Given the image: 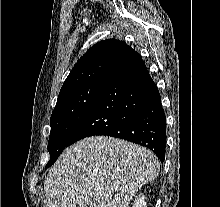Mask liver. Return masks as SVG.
<instances>
[{"mask_svg":"<svg viewBox=\"0 0 220 207\" xmlns=\"http://www.w3.org/2000/svg\"><path fill=\"white\" fill-rule=\"evenodd\" d=\"M145 147L125 140L85 138L60 156L44 182L48 207H129L135 193L159 174Z\"/></svg>","mask_w":220,"mask_h":207,"instance_id":"liver-1","label":"liver"}]
</instances>
